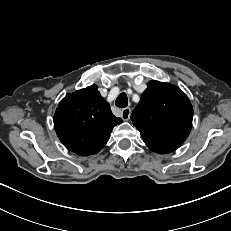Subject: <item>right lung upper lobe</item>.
<instances>
[{
  "label": "right lung upper lobe",
  "mask_w": 231,
  "mask_h": 231,
  "mask_svg": "<svg viewBox=\"0 0 231 231\" xmlns=\"http://www.w3.org/2000/svg\"><path fill=\"white\" fill-rule=\"evenodd\" d=\"M56 133L70 151L88 156L107 143L114 126L122 123L100 95L96 85L66 95L54 114Z\"/></svg>",
  "instance_id": "right-lung-upper-lobe-1"
}]
</instances>
